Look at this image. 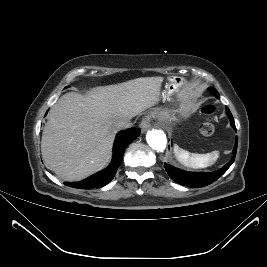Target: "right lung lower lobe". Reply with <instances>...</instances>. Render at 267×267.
<instances>
[{
  "label": "right lung lower lobe",
  "instance_id": "1",
  "mask_svg": "<svg viewBox=\"0 0 267 267\" xmlns=\"http://www.w3.org/2000/svg\"><path fill=\"white\" fill-rule=\"evenodd\" d=\"M139 134L140 129L138 128H130L120 131L114 142L113 159L108 168L82 181L74 183L65 182L64 184L79 189H93L105 186L114 178L115 172L122 161L124 149L136 139Z\"/></svg>",
  "mask_w": 267,
  "mask_h": 267
}]
</instances>
